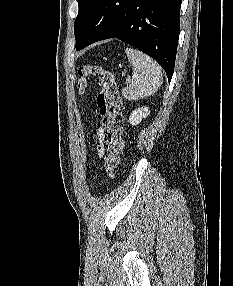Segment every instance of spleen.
<instances>
[{
  "label": "spleen",
  "mask_w": 233,
  "mask_h": 286,
  "mask_svg": "<svg viewBox=\"0 0 233 286\" xmlns=\"http://www.w3.org/2000/svg\"><path fill=\"white\" fill-rule=\"evenodd\" d=\"M133 67L131 84L122 90L127 100H138L154 94L163 81L162 68L150 56L133 48L125 50Z\"/></svg>",
  "instance_id": "obj_1"
}]
</instances>
